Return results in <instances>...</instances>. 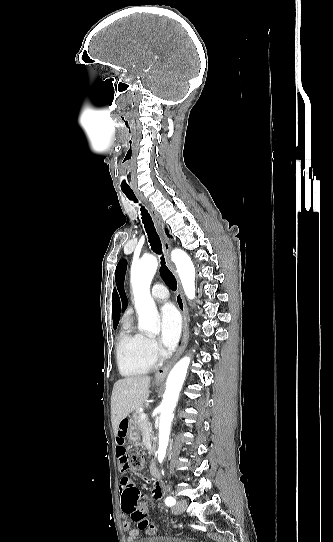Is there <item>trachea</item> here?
Instances as JSON below:
<instances>
[{
  "instance_id": "1",
  "label": "trachea",
  "mask_w": 333,
  "mask_h": 542,
  "mask_svg": "<svg viewBox=\"0 0 333 542\" xmlns=\"http://www.w3.org/2000/svg\"><path fill=\"white\" fill-rule=\"evenodd\" d=\"M123 192L128 197V199H130V201L138 202L132 190L127 189V190H123ZM141 215H142L144 227L148 234V239L152 247V250L156 252L157 254H162V246H161L160 238L157 235L155 227L153 225V221L144 206H141ZM160 271H161V276L163 280L165 281V283L167 284V286L171 290H176L177 281L175 280V277L172 274V272L165 265V260L163 256L161 257Z\"/></svg>"
}]
</instances>
